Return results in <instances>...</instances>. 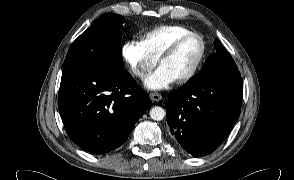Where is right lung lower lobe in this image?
Returning <instances> with one entry per match:
<instances>
[{
	"label": "right lung lower lobe",
	"mask_w": 294,
	"mask_h": 180,
	"mask_svg": "<svg viewBox=\"0 0 294 180\" xmlns=\"http://www.w3.org/2000/svg\"><path fill=\"white\" fill-rule=\"evenodd\" d=\"M150 106L128 72L81 69L61 78L58 107L67 134L95 154L122 145Z\"/></svg>",
	"instance_id": "obj_1"
}]
</instances>
